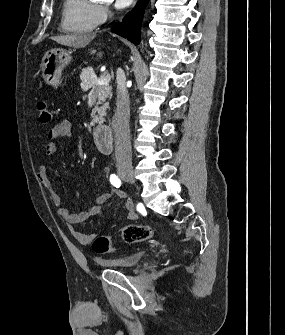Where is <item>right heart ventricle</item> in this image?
I'll return each mask as SVG.
<instances>
[{
  "instance_id": "e07e8e85",
  "label": "right heart ventricle",
  "mask_w": 285,
  "mask_h": 335,
  "mask_svg": "<svg viewBox=\"0 0 285 335\" xmlns=\"http://www.w3.org/2000/svg\"><path fill=\"white\" fill-rule=\"evenodd\" d=\"M95 4H96L95 1H80L76 3L75 5L82 7L86 10L92 11ZM65 24L75 26L77 29L82 30V31H92L96 26V23L93 20L92 16H89V15L83 16L76 20L67 19L65 21Z\"/></svg>"
}]
</instances>
